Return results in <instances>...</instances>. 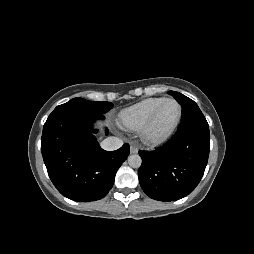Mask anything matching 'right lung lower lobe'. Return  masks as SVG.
I'll return each mask as SVG.
<instances>
[{
  "label": "right lung lower lobe",
  "instance_id": "98d812e1",
  "mask_svg": "<svg viewBox=\"0 0 254 254\" xmlns=\"http://www.w3.org/2000/svg\"><path fill=\"white\" fill-rule=\"evenodd\" d=\"M103 118V114L61 108L55 109L44 124V163L54 186L71 200L90 202L103 198L129 155L127 143L116 151L99 146L91 124Z\"/></svg>",
  "mask_w": 254,
  "mask_h": 254
}]
</instances>
